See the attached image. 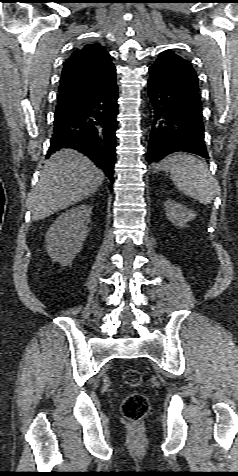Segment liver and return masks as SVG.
Here are the masks:
<instances>
[{"mask_svg": "<svg viewBox=\"0 0 238 476\" xmlns=\"http://www.w3.org/2000/svg\"><path fill=\"white\" fill-rule=\"evenodd\" d=\"M104 177L102 170L76 150L56 152L45 163L29 196L32 220L44 219L88 198L102 185Z\"/></svg>", "mask_w": 238, "mask_h": 476, "instance_id": "6515ba94", "label": "liver"}]
</instances>
